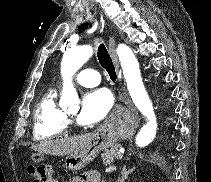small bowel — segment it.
<instances>
[{
	"instance_id": "small-bowel-1",
	"label": "small bowel",
	"mask_w": 211,
	"mask_h": 182,
	"mask_svg": "<svg viewBox=\"0 0 211 182\" xmlns=\"http://www.w3.org/2000/svg\"><path fill=\"white\" fill-rule=\"evenodd\" d=\"M34 182L37 180L34 179ZM69 182H99V175L97 172L89 171L71 178Z\"/></svg>"
}]
</instances>
